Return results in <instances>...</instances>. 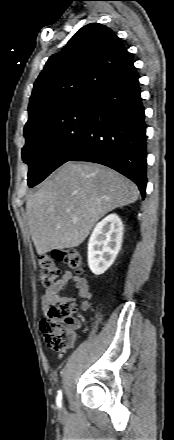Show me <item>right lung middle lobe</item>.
Instances as JSON below:
<instances>
[{
	"label": "right lung middle lobe",
	"mask_w": 174,
	"mask_h": 440,
	"mask_svg": "<svg viewBox=\"0 0 174 440\" xmlns=\"http://www.w3.org/2000/svg\"><path fill=\"white\" fill-rule=\"evenodd\" d=\"M93 105V95L84 96L24 129L22 158L29 165V187L66 162L86 132Z\"/></svg>",
	"instance_id": "right-lung-middle-lobe-1"
}]
</instances>
